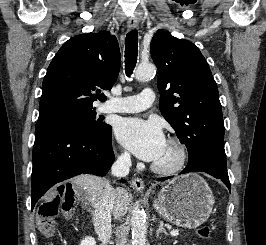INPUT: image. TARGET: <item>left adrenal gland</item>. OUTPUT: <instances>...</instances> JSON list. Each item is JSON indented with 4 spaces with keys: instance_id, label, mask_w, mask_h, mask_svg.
Segmentation results:
<instances>
[{
    "instance_id": "1",
    "label": "left adrenal gland",
    "mask_w": 266,
    "mask_h": 245,
    "mask_svg": "<svg viewBox=\"0 0 266 245\" xmlns=\"http://www.w3.org/2000/svg\"><path fill=\"white\" fill-rule=\"evenodd\" d=\"M160 233H164V235H168L167 231L164 229L163 221H160L159 229L156 231V237H159Z\"/></svg>"
}]
</instances>
